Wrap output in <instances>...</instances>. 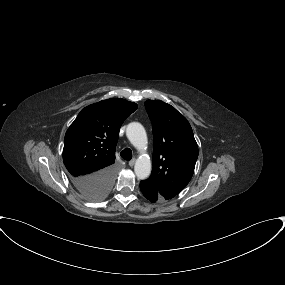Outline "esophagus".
I'll return each instance as SVG.
<instances>
[{
  "label": "esophagus",
  "mask_w": 285,
  "mask_h": 285,
  "mask_svg": "<svg viewBox=\"0 0 285 285\" xmlns=\"http://www.w3.org/2000/svg\"><path fill=\"white\" fill-rule=\"evenodd\" d=\"M135 162H136V159H132L131 161L128 162V164L130 167H133Z\"/></svg>",
  "instance_id": "obj_1"
}]
</instances>
